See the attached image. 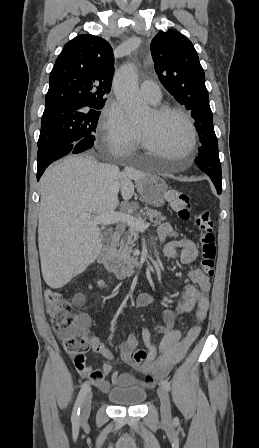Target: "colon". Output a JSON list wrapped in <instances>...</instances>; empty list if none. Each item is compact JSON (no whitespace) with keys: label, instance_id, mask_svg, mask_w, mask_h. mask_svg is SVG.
<instances>
[{"label":"colon","instance_id":"5ec220e1","mask_svg":"<svg viewBox=\"0 0 259 448\" xmlns=\"http://www.w3.org/2000/svg\"><path fill=\"white\" fill-rule=\"evenodd\" d=\"M167 201L182 220L193 222L199 230L202 253L201 269L206 275H213L216 246L213 233L214 224L210 215L207 212L194 214L188 195L178 189L168 190ZM45 306L54 331L63 340L65 350L75 356L84 355L90 347L86 335L88 317L84 314L76 315L72 304L61 292L56 290L45 292ZM147 357V352L142 349L132 352V360L135 363H143Z\"/></svg>","mask_w":259,"mask_h":448}]
</instances>
